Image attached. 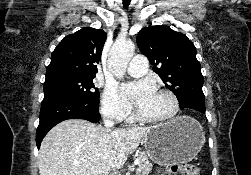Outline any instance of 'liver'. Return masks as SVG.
Returning a JSON list of instances; mask_svg holds the SVG:
<instances>
[{"mask_svg": "<svg viewBox=\"0 0 251 175\" xmlns=\"http://www.w3.org/2000/svg\"><path fill=\"white\" fill-rule=\"evenodd\" d=\"M149 127L108 129L86 119H65L45 135L39 149L40 175H105L119 169Z\"/></svg>", "mask_w": 251, "mask_h": 175, "instance_id": "1", "label": "liver"}]
</instances>
